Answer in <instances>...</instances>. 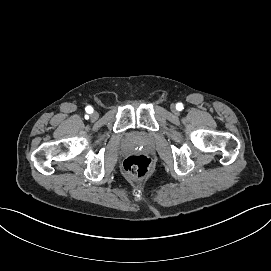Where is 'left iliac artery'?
Masks as SVG:
<instances>
[{
    "label": "left iliac artery",
    "instance_id": "1",
    "mask_svg": "<svg viewBox=\"0 0 271 271\" xmlns=\"http://www.w3.org/2000/svg\"><path fill=\"white\" fill-rule=\"evenodd\" d=\"M176 109L179 110V111H181L183 109V104L182 103H178L176 105Z\"/></svg>",
    "mask_w": 271,
    "mask_h": 271
}]
</instances>
